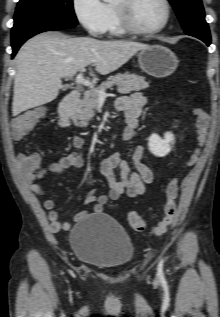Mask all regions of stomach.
<instances>
[{
  "label": "stomach",
  "mask_w": 220,
  "mask_h": 317,
  "mask_svg": "<svg viewBox=\"0 0 220 317\" xmlns=\"http://www.w3.org/2000/svg\"><path fill=\"white\" fill-rule=\"evenodd\" d=\"M140 68L150 76L163 78L171 75L178 66L176 55L162 45H149L138 53Z\"/></svg>",
  "instance_id": "0dacf381"
}]
</instances>
